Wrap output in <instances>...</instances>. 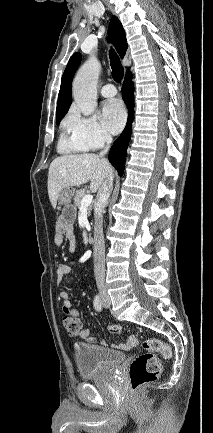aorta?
<instances>
[{"mask_svg":"<svg viewBox=\"0 0 213 433\" xmlns=\"http://www.w3.org/2000/svg\"><path fill=\"white\" fill-rule=\"evenodd\" d=\"M101 65L99 61L91 56L76 74L72 93L76 104L83 113L88 116L97 107V80Z\"/></svg>","mask_w":213,"mask_h":433,"instance_id":"1","label":"aorta"}]
</instances>
